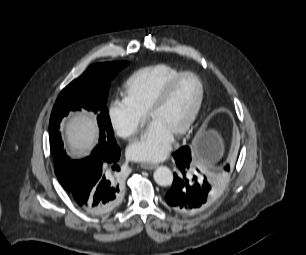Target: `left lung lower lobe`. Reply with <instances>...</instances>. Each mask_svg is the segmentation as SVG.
<instances>
[{
	"instance_id": "obj_1",
	"label": "left lung lower lobe",
	"mask_w": 306,
	"mask_h": 255,
	"mask_svg": "<svg viewBox=\"0 0 306 255\" xmlns=\"http://www.w3.org/2000/svg\"><path fill=\"white\" fill-rule=\"evenodd\" d=\"M174 159L178 172L174 173V181L169 192L165 195L167 204L175 211L182 214H194L203 210L212 200L216 188L206 179L200 181L194 175L188 177L190 170H193L191 163V150L188 146L180 148ZM229 171V165L225 168ZM199 172V170L197 169Z\"/></svg>"
}]
</instances>
